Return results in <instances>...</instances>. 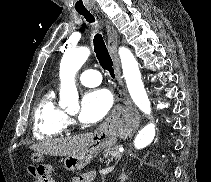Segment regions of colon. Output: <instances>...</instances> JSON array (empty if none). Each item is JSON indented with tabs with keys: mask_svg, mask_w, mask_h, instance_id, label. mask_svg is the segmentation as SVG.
<instances>
[{
	"mask_svg": "<svg viewBox=\"0 0 211 182\" xmlns=\"http://www.w3.org/2000/svg\"><path fill=\"white\" fill-rule=\"evenodd\" d=\"M30 173L36 181L54 182L53 169L50 166L31 167Z\"/></svg>",
	"mask_w": 211,
	"mask_h": 182,
	"instance_id": "obj_1",
	"label": "colon"
}]
</instances>
